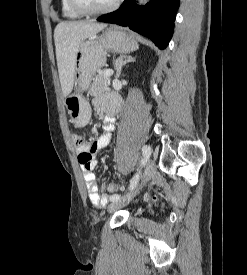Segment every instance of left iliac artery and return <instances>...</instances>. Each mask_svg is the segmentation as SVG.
Wrapping results in <instances>:
<instances>
[{
	"label": "left iliac artery",
	"instance_id": "44dca946",
	"mask_svg": "<svg viewBox=\"0 0 247 275\" xmlns=\"http://www.w3.org/2000/svg\"><path fill=\"white\" fill-rule=\"evenodd\" d=\"M142 153H143V156H144V159L143 161L146 162L150 155H151V148L150 146H143L142 148ZM139 181V173L137 172L133 177L132 179L130 180V186H129V190H133L136 186H137V183ZM121 198V195L119 194H114L112 196H110V201L114 202V201H117Z\"/></svg>",
	"mask_w": 247,
	"mask_h": 275
}]
</instances>
